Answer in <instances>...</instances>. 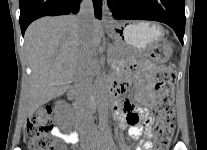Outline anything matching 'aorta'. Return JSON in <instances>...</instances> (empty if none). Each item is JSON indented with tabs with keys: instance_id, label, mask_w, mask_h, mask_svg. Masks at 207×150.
<instances>
[{
	"instance_id": "1",
	"label": "aorta",
	"mask_w": 207,
	"mask_h": 150,
	"mask_svg": "<svg viewBox=\"0 0 207 150\" xmlns=\"http://www.w3.org/2000/svg\"><path fill=\"white\" fill-rule=\"evenodd\" d=\"M97 101L102 111L108 108V91L104 78L101 76L96 86Z\"/></svg>"
}]
</instances>
